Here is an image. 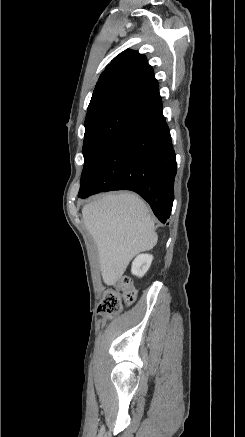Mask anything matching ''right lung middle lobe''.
Wrapping results in <instances>:
<instances>
[{"label":"right lung middle lobe","instance_id":"dd1d6c3e","mask_svg":"<svg viewBox=\"0 0 245 437\" xmlns=\"http://www.w3.org/2000/svg\"><path fill=\"white\" fill-rule=\"evenodd\" d=\"M141 112L142 110L125 103H108L87 112L82 149L85 163L81 184L95 169L120 132Z\"/></svg>","mask_w":245,"mask_h":437}]
</instances>
